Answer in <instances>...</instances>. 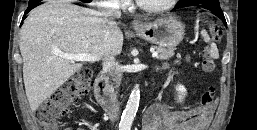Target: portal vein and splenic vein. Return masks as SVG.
<instances>
[{"label":"portal vein and splenic vein","mask_w":257,"mask_h":130,"mask_svg":"<svg viewBox=\"0 0 257 130\" xmlns=\"http://www.w3.org/2000/svg\"><path fill=\"white\" fill-rule=\"evenodd\" d=\"M57 56L62 57L64 59H68L71 61H87V62H96L99 61L100 58L97 55L91 54H63V53H56ZM158 56L157 51L152 52V57L155 58Z\"/></svg>","instance_id":"portal-vein-and-splenic-vein-1"}]
</instances>
